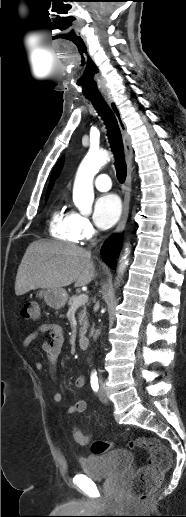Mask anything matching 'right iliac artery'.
Wrapping results in <instances>:
<instances>
[{
    "label": "right iliac artery",
    "mask_w": 186,
    "mask_h": 517,
    "mask_svg": "<svg viewBox=\"0 0 186 517\" xmlns=\"http://www.w3.org/2000/svg\"><path fill=\"white\" fill-rule=\"evenodd\" d=\"M90 383H91L92 389L95 392H97L98 389H99V383H98V377H97V373L96 372H92L91 378H90Z\"/></svg>",
    "instance_id": "right-iliac-artery-1"
}]
</instances>
